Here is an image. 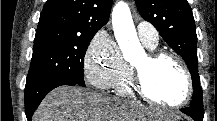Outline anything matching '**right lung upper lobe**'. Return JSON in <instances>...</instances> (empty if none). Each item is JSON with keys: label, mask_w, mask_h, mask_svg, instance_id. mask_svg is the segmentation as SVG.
<instances>
[{"label": "right lung upper lobe", "mask_w": 217, "mask_h": 121, "mask_svg": "<svg viewBox=\"0 0 217 121\" xmlns=\"http://www.w3.org/2000/svg\"><path fill=\"white\" fill-rule=\"evenodd\" d=\"M112 0H47L38 29L56 27L75 33L95 34L110 16Z\"/></svg>", "instance_id": "1"}]
</instances>
